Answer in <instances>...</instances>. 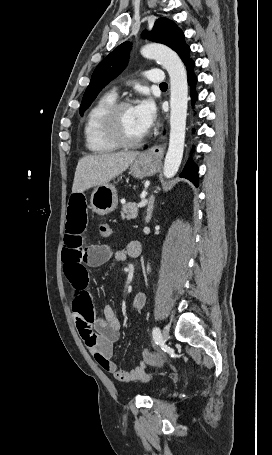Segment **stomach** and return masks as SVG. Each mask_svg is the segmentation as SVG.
Segmentation results:
<instances>
[{"label":"stomach","instance_id":"obj_1","mask_svg":"<svg viewBox=\"0 0 272 455\" xmlns=\"http://www.w3.org/2000/svg\"><path fill=\"white\" fill-rule=\"evenodd\" d=\"M157 161L146 153L138 155L131 163L130 174L136 178L152 176L157 172ZM118 204L117 191L114 185L107 183L96 187L90 198V206L98 215L112 212Z\"/></svg>","mask_w":272,"mask_h":455}]
</instances>
